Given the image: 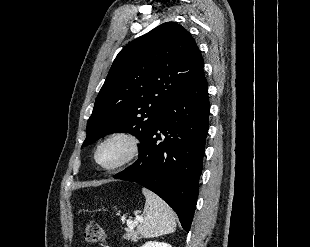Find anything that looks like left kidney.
Masks as SVG:
<instances>
[{
    "label": "left kidney",
    "instance_id": "5707ae66",
    "mask_svg": "<svg viewBox=\"0 0 310 247\" xmlns=\"http://www.w3.org/2000/svg\"><path fill=\"white\" fill-rule=\"evenodd\" d=\"M142 247H172V246L164 242L149 241L146 242Z\"/></svg>",
    "mask_w": 310,
    "mask_h": 247
}]
</instances>
